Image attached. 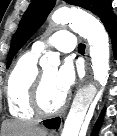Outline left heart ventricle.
<instances>
[{
    "mask_svg": "<svg viewBox=\"0 0 117 136\" xmlns=\"http://www.w3.org/2000/svg\"><path fill=\"white\" fill-rule=\"evenodd\" d=\"M56 69L51 68L43 71L44 83L41 91V102L45 109L53 110L63 101L64 94L59 91L55 84Z\"/></svg>",
    "mask_w": 117,
    "mask_h": 136,
    "instance_id": "1",
    "label": "left heart ventricle"
}]
</instances>
